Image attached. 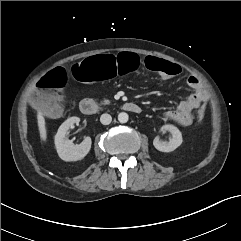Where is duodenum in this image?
Wrapping results in <instances>:
<instances>
[{"label": "duodenum", "instance_id": "410a0bca", "mask_svg": "<svg viewBox=\"0 0 241 241\" xmlns=\"http://www.w3.org/2000/svg\"><path fill=\"white\" fill-rule=\"evenodd\" d=\"M80 111L84 114V115H94L96 113H98L101 109V106L93 99H84L80 102ZM123 108L126 111H129L131 113H140L141 112V108L132 102H127L123 105Z\"/></svg>", "mask_w": 241, "mask_h": 241}]
</instances>
